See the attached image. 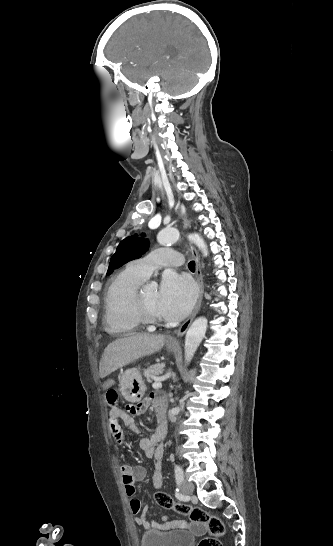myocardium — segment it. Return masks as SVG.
<instances>
[{"label":"myocardium","mask_w":333,"mask_h":546,"mask_svg":"<svg viewBox=\"0 0 333 546\" xmlns=\"http://www.w3.org/2000/svg\"><path fill=\"white\" fill-rule=\"evenodd\" d=\"M142 291L140 288H138L133 296L132 299V306L134 309L135 314L140 319L142 323L149 324V325H157L162 322V319L159 316L154 315L151 313L144 305L142 300Z\"/></svg>","instance_id":"1"}]
</instances>
